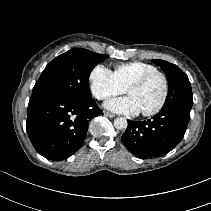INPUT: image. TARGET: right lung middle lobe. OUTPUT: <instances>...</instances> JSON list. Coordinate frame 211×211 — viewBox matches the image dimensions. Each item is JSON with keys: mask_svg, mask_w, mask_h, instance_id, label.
<instances>
[{"mask_svg": "<svg viewBox=\"0 0 211 211\" xmlns=\"http://www.w3.org/2000/svg\"><path fill=\"white\" fill-rule=\"evenodd\" d=\"M107 58L83 48H74L52 60L36 82L32 95L54 94L86 101L92 98L89 75L95 65Z\"/></svg>", "mask_w": 211, "mask_h": 211, "instance_id": "right-lung-middle-lobe-1", "label": "right lung middle lobe"}]
</instances>
